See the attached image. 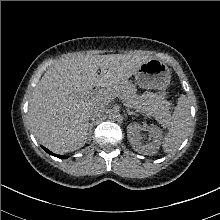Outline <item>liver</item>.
<instances>
[{
	"label": "liver",
	"mask_w": 220,
	"mask_h": 220,
	"mask_svg": "<svg viewBox=\"0 0 220 220\" xmlns=\"http://www.w3.org/2000/svg\"><path fill=\"white\" fill-rule=\"evenodd\" d=\"M148 60L135 54H80L56 62L42 76L30 100L28 115L35 137L58 153L83 147L91 110L117 95ZM95 87L98 94L86 97Z\"/></svg>",
	"instance_id": "6515ba94"
}]
</instances>
